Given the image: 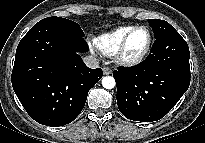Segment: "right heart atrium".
I'll return each instance as SVG.
<instances>
[{"instance_id":"d8ad5b80","label":"right heart atrium","mask_w":205,"mask_h":143,"mask_svg":"<svg viewBox=\"0 0 205 143\" xmlns=\"http://www.w3.org/2000/svg\"><path fill=\"white\" fill-rule=\"evenodd\" d=\"M90 47L94 50L95 49V43L91 42Z\"/></svg>"}]
</instances>
